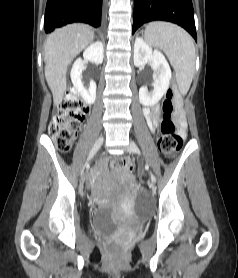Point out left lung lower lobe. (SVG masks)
Listing matches in <instances>:
<instances>
[{
  "mask_svg": "<svg viewBox=\"0 0 238 278\" xmlns=\"http://www.w3.org/2000/svg\"><path fill=\"white\" fill-rule=\"evenodd\" d=\"M154 20L176 23L197 41L191 0H134L133 33L144 23Z\"/></svg>",
  "mask_w": 238,
  "mask_h": 278,
  "instance_id": "left-lung-lower-lobe-1",
  "label": "left lung lower lobe"
}]
</instances>
